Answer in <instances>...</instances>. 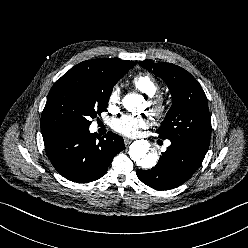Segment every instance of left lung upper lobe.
Segmentation results:
<instances>
[{"mask_svg":"<svg viewBox=\"0 0 248 248\" xmlns=\"http://www.w3.org/2000/svg\"><path fill=\"white\" fill-rule=\"evenodd\" d=\"M139 64L162 78L173 97L172 106L156 131L159 137L205 155L210 142L211 119L201 85L188 71L176 65L149 61Z\"/></svg>","mask_w":248,"mask_h":248,"instance_id":"1","label":"left lung upper lobe"}]
</instances>
